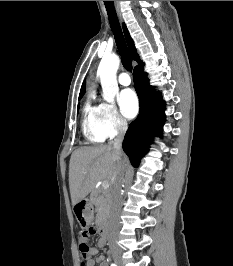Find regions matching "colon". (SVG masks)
Wrapping results in <instances>:
<instances>
[{
	"label": "colon",
	"mask_w": 233,
	"mask_h": 266,
	"mask_svg": "<svg viewBox=\"0 0 233 266\" xmlns=\"http://www.w3.org/2000/svg\"><path fill=\"white\" fill-rule=\"evenodd\" d=\"M97 230L95 228H89L87 231H84L81 234L80 238V244H79V249L82 257V266H83V261L89 256L90 254V246L87 244L86 239L90 235L96 234Z\"/></svg>",
	"instance_id": "5ec220e1"
}]
</instances>
